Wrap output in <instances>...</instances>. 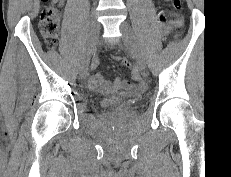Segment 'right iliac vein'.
Wrapping results in <instances>:
<instances>
[{"label": "right iliac vein", "mask_w": 231, "mask_h": 177, "mask_svg": "<svg viewBox=\"0 0 231 177\" xmlns=\"http://www.w3.org/2000/svg\"><path fill=\"white\" fill-rule=\"evenodd\" d=\"M100 30V25L94 16L90 19L89 36L85 47V52L80 65V77L85 78L89 71V62L91 54L96 45L97 36Z\"/></svg>", "instance_id": "63e3f726"}]
</instances>
